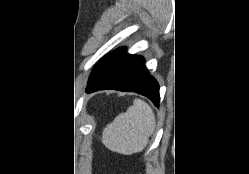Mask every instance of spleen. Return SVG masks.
I'll use <instances>...</instances> for the list:
<instances>
[{"mask_svg": "<svg viewBox=\"0 0 249 174\" xmlns=\"http://www.w3.org/2000/svg\"><path fill=\"white\" fill-rule=\"evenodd\" d=\"M156 125L152 108L135 99L126 112L120 113L102 132L104 145L111 151L131 155L144 150Z\"/></svg>", "mask_w": 249, "mask_h": 174, "instance_id": "3e777b00", "label": "spleen"}]
</instances>
